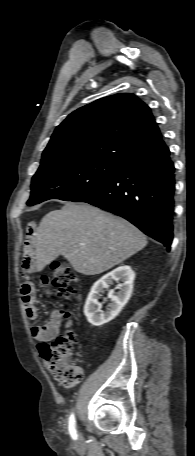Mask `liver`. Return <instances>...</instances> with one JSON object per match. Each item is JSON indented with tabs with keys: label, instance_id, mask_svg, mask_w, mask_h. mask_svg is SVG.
<instances>
[{
	"label": "liver",
	"instance_id": "1",
	"mask_svg": "<svg viewBox=\"0 0 195 456\" xmlns=\"http://www.w3.org/2000/svg\"><path fill=\"white\" fill-rule=\"evenodd\" d=\"M145 235L134 225L88 204L66 203L46 214L36 235V268L63 255L75 271L103 273L142 250Z\"/></svg>",
	"mask_w": 195,
	"mask_h": 456
}]
</instances>
